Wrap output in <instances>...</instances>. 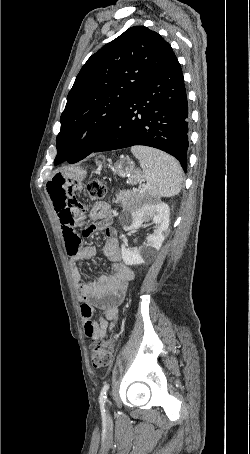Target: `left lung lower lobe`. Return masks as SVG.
Here are the masks:
<instances>
[{
  "mask_svg": "<svg viewBox=\"0 0 250 454\" xmlns=\"http://www.w3.org/2000/svg\"><path fill=\"white\" fill-rule=\"evenodd\" d=\"M188 124L182 69L173 53L165 65L133 95L91 153L134 145L150 146L174 156L186 172ZM83 158L64 156L54 164L66 160L76 163Z\"/></svg>",
  "mask_w": 250,
  "mask_h": 454,
  "instance_id": "obj_1",
  "label": "left lung lower lobe"
}]
</instances>
